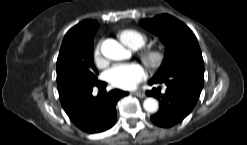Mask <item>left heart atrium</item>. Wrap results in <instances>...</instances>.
<instances>
[{
	"mask_svg": "<svg viewBox=\"0 0 247 145\" xmlns=\"http://www.w3.org/2000/svg\"><path fill=\"white\" fill-rule=\"evenodd\" d=\"M107 81L118 88L133 89L147 77L145 68L138 63L117 64L106 71Z\"/></svg>",
	"mask_w": 247,
	"mask_h": 145,
	"instance_id": "left-heart-atrium-1",
	"label": "left heart atrium"
}]
</instances>
